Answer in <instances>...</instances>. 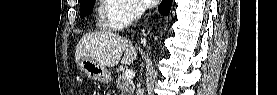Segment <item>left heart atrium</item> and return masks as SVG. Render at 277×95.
<instances>
[{
	"label": "left heart atrium",
	"instance_id": "39dd6f15",
	"mask_svg": "<svg viewBox=\"0 0 277 95\" xmlns=\"http://www.w3.org/2000/svg\"><path fill=\"white\" fill-rule=\"evenodd\" d=\"M139 2L146 7H152L156 3L155 0H139Z\"/></svg>",
	"mask_w": 277,
	"mask_h": 95
}]
</instances>
